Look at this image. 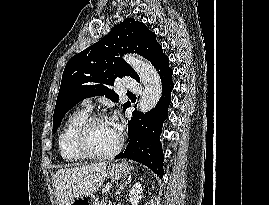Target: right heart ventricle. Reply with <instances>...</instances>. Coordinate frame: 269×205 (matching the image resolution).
<instances>
[{
	"instance_id": "1",
	"label": "right heart ventricle",
	"mask_w": 269,
	"mask_h": 205,
	"mask_svg": "<svg viewBox=\"0 0 269 205\" xmlns=\"http://www.w3.org/2000/svg\"><path fill=\"white\" fill-rule=\"evenodd\" d=\"M89 116V111L81 109L68 116L58 137V147L62 159L69 163H77L85 158L78 152L75 146V135L79 126Z\"/></svg>"
}]
</instances>
